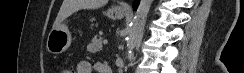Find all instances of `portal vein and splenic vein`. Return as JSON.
<instances>
[{
  "label": "portal vein and splenic vein",
  "instance_id": "portal-vein-and-splenic-vein-1",
  "mask_svg": "<svg viewBox=\"0 0 244 73\" xmlns=\"http://www.w3.org/2000/svg\"><path fill=\"white\" fill-rule=\"evenodd\" d=\"M107 43H108L107 40H104V41H103V44H104V45H107Z\"/></svg>",
  "mask_w": 244,
  "mask_h": 73
}]
</instances>
